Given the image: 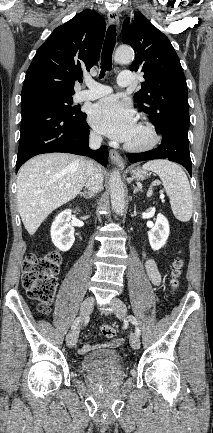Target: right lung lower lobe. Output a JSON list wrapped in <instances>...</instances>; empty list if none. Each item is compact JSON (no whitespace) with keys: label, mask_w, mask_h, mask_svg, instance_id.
Returning <instances> with one entry per match:
<instances>
[{"label":"right lung lower lobe","mask_w":213,"mask_h":433,"mask_svg":"<svg viewBox=\"0 0 213 433\" xmlns=\"http://www.w3.org/2000/svg\"><path fill=\"white\" fill-rule=\"evenodd\" d=\"M21 113L16 172L28 159L49 152L86 155L107 166V148L101 146L93 151L88 147L89 126L85 113L69 116L50 104L33 100H22Z\"/></svg>","instance_id":"98d812e1"}]
</instances>
